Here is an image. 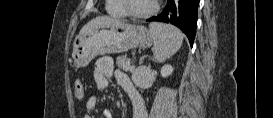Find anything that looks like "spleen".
I'll return each mask as SVG.
<instances>
[{"label": "spleen", "instance_id": "obj_1", "mask_svg": "<svg viewBox=\"0 0 273 118\" xmlns=\"http://www.w3.org/2000/svg\"><path fill=\"white\" fill-rule=\"evenodd\" d=\"M149 27L154 42V58L157 62H164L180 49L183 36L172 25L151 23Z\"/></svg>", "mask_w": 273, "mask_h": 118}]
</instances>
